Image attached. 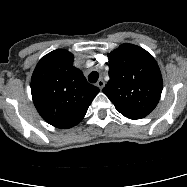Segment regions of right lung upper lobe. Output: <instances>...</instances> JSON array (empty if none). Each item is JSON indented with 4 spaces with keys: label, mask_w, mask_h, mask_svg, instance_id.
Listing matches in <instances>:
<instances>
[{
    "label": "right lung upper lobe",
    "mask_w": 187,
    "mask_h": 187,
    "mask_svg": "<svg viewBox=\"0 0 187 187\" xmlns=\"http://www.w3.org/2000/svg\"><path fill=\"white\" fill-rule=\"evenodd\" d=\"M73 60L69 51L54 50L38 62L31 78L37 111L46 122L60 129L79 124L99 92L73 66Z\"/></svg>",
    "instance_id": "obj_1"
}]
</instances>
